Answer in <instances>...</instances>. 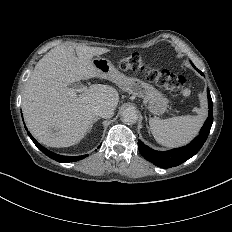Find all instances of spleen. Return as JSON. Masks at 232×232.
<instances>
[{"label":"spleen","mask_w":232,"mask_h":232,"mask_svg":"<svg viewBox=\"0 0 232 232\" xmlns=\"http://www.w3.org/2000/svg\"><path fill=\"white\" fill-rule=\"evenodd\" d=\"M205 106V102H202ZM206 117V109L202 108L200 114L178 115L172 118L161 119L151 117L149 120L150 129L156 141L160 144L173 147L190 141L198 132Z\"/></svg>","instance_id":"3e777b00"}]
</instances>
